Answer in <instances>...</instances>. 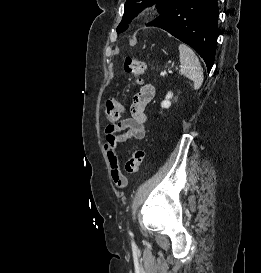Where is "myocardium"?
<instances>
[{
	"instance_id": "obj_1",
	"label": "myocardium",
	"mask_w": 261,
	"mask_h": 273,
	"mask_svg": "<svg viewBox=\"0 0 261 273\" xmlns=\"http://www.w3.org/2000/svg\"><path fill=\"white\" fill-rule=\"evenodd\" d=\"M155 10V6L153 5V6H149V7H145V8H143L142 10H141V12H140V16L142 17V18H147V17H149L151 14H152V12Z\"/></svg>"
}]
</instances>
